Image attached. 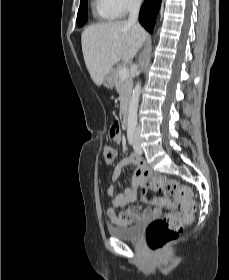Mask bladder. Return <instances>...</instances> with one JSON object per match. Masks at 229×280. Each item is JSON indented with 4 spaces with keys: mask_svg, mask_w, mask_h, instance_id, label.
I'll return each mask as SVG.
<instances>
[{
    "mask_svg": "<svg viewBox=\"0 0 229 280\" xmlns=\"http://www.w3.org/2000/svg\"><path fill=\"white\" fill-rule=\"evenodd\" d=\"M143 225L144 221L139 220L129 226L110 228L109 233L111 236L121 241H132L136 240L140 236Z\"/></svg>",
    "mask_w": 229,
    "mask_h": 280,
    "instance_id": "bladder-1",
    "label": "bladder"
}]
</instances>
